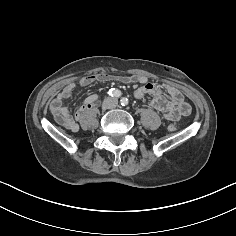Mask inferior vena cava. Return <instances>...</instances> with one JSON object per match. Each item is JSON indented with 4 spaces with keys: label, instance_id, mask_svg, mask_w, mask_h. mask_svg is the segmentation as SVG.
<instances>
[{
    "label": "inferior vena cava",
    "instance_id": "1",
    "mask_svg": "<svg viewBox=\"0 0 236 236\" xmlns=\"http://www.w3.org/2000/svg\"><path fill=\"white\" fill-rule=\"evenodd\" d=\"M118 105V100L116 98L107 97L103 101V106L106 109H113Z\"/></svg>",
    "mask_w": 236,
    "mask_h": 236
}]
</instances>
